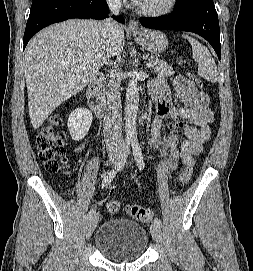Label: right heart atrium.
<instances>
[{
  "instance_id": "1",
  "label": "right heart atrium",
  "mask_w": 253,
  "mask_h": 271,
  "mask_svg": "<svg viewBox=\"0 0 253 271\" xmlns=\"http://www.w3.org/2000/svg\"><path fill=\"white\" fill-rule=\"evenodd\" d=\"M108 1L113 4H120L122 2V0H108Z\"/></svg>"
}]
</instances>
